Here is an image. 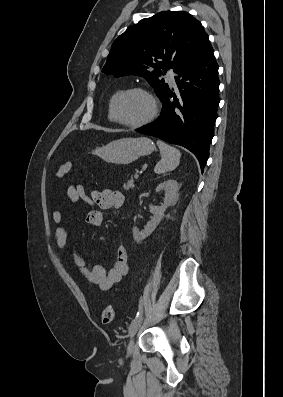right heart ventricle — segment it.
Segmentation results:
<instances>
[{"mask_svg":"<svg viewBox=\"0 0 283 397\" xmlns=\"http://www.w3.org/2000/svg\"><path fill=\"white\" fill-rule=\"evenodd\" d=\"M122 89H118L116 91L113 92V94L111 95L110 99H109V103H108V118L110 121H115L113 118V114H112V110H111V105H112V100L115 97V95L117 93H119Z\"/></svg>","mask_w":283,"mask_h":397,"instance_id":"e07e8e85","label":"right heart ventricle"}]
</instances>
